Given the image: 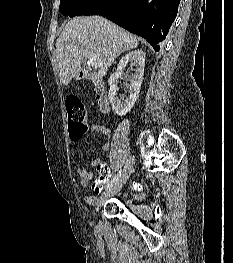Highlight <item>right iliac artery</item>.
<instances>
[{"label": "right iliac artery", "instance_id": "obj_1", "mask_svg": "<svg viewBox=\"0 0 233 263\" xmlns=\"http://www.w3.org/2000/svg\"><path fill=\"white\" fill-rule=\"evenodd\" d=\"M121 176V170L118 172V174L107 184L106 189H109L112 187L120 178Z\"/></svg>", "mask_w": 233, "mask_h": 263}]
</instances>
